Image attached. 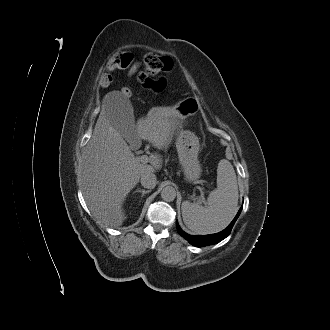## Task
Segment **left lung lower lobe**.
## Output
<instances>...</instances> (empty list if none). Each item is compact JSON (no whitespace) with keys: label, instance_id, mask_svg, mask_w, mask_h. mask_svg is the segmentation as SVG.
<instances>
[{"label":"left lung lower lobe","instance_id":"obj_1","mask_svg":"<svg viewBox=\"0 0 330 330\" xmlns=\"http://www.w3.org/2000/svg\"><path fill=\"white\" fill-rule=\"evenodd\" d=\"M242 207L240 208V210L238 211L237 215L235 216V218L233 219V221L229 224V226L224 229L223 231L216 233V234H211V235H189L187 233H185L179 226L178 222L176 221V226H177V230L178 233L185 238L187 241H189V243H191L192 245L196 246V247H203V246H207V245H213L216 243H219L220 241H222L223 239H225L227 236H229L237 218L239 217V214L241 212Z\"/></svg>","mask_w":330,"mask_h":330}]
</instances>
